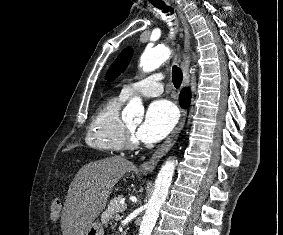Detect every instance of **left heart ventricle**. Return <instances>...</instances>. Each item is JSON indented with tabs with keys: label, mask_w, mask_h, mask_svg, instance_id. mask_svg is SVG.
Segmentation results:
<instances>
[{
	"label": "left heart ventricle",
	"mask_w": 283,
	"mask_h": 235,
	"mask_svg": "<svg viewBox=\"0 0 283 235\" xmlns=\"http://www.w3.org/2000/svg\"><path fill=\"white\" fill-rule=\"evenodd\" d=\"M126 125H127L128 128H129L131 131H133V132H135L136 128L138 127V124H137V123H127Z\"/></svg>",
	"instance_id": "1"
}]
</instances>
